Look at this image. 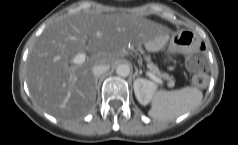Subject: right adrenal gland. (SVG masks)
<instances>
[{"instance_id": "obj_1", "label": "right adrenal gland", "mask_w": 238, "mask_h": 145, "mask_svg": "<svg viewBox=\"0 0 238 145\" xmlns=\"http://www.w3.org/2000/svg\"><path fill=\"white\" fill-rule=\"evenodd\" d=\"M98 79H99V77H96V79H95V85L96 86H97Z\"/></svg>"}]
</instances>
